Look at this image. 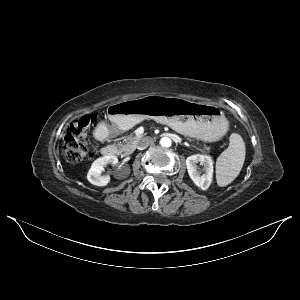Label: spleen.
I'll return each instance as SVG.
<instances>
[{
  "label": "spleen",
  "instance_id": "spleen-1",
  "mask_svg": "<svg viewBox=\"0 0 300 300\" xmlns=\"http://www.w3.org/2000/svg\"><path fill=\"white\" fill-rule=\"evenodd\" d=\"M245 143L242 137L233 133L229 147L223 151L216 161V180L220 187L229 185L239 175L245 160Z\"/></svg>",
  "mask_w": 300,
  "mask_h": 300
}]
</instances>
